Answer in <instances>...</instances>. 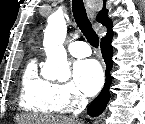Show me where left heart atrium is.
Listing matches in <instances>:
<instances>
[{"label": "left heart atrium", "mask_w": 145, "mask_h": 124, "mask_svg": "<svg viewBox=\"0 0 145 124\" xmlns=\"http://www.w3.org/2000/svg\"><path fill=\"white\" fill-rule=\"evenodd\" d=\"M73 75L78 88L88 96L96 94L103 84V71L94 59L76 62Z\"/></svg>", "instance_id": "obj_1"}]
</instances>
